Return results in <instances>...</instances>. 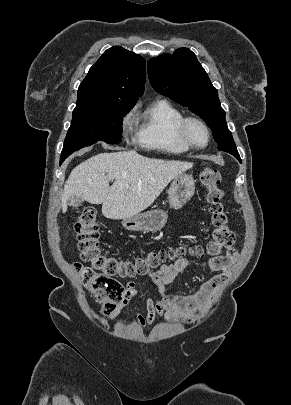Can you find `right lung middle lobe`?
<instances>
[{
    "label": "right lung middle lobe",
    "instance_id": "1",
    "mask_svg": "<svg viewBox=\"0 0 291 405\" xmlns=\"http://www.w3.org/2000/svg\"><path fill=\"white\" fill-rule=\"evenodd\" d=\"M132 107L117 104H92L73 110L71 126L60 157L62 163L74 151L97 141L117 144L122 140L123 117Z\"/></svg>",
    "mask_w": 291,
    "mask_h": 405
}]
</instances>
